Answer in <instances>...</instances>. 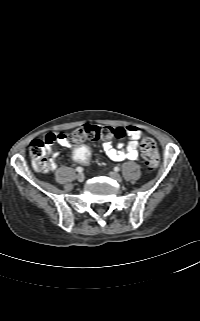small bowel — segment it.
Returning <instances> with one entry per match:
<instances>
[{
    "label": "small bowel",
    "mask_w": 200,
    "mask_h": 321,
    "mask_svg": "<svg viewBox=\"0 0 200 321\" xmlns=\"http://www.w3.org/2000/svg\"><path fill=\"white\" fill-rule=\"evenodd\" d=\"M122 129L124 131V134L127 135L128 137L127 142L125 144L122 142H119L116 145H114L112 141L106 140L102 143V149L106 154V156L112 161H115V162H120L124 160L134 161L138 158V141L143 136V132L139 127L132 126V125ZM47 135H53L55 139L52 143L57 142L63 147L71 148L75 145L70 141L68 135L65 133L58 132V133H49ZM52 143H50L47 146V149L49 154H51L52 159H55L58 156V154L51 151L50 146ZM55 168H56V164L53 161H51L50 170H55Z\"/></svg>",
    "instance_id": "1"
}]
</instances>
